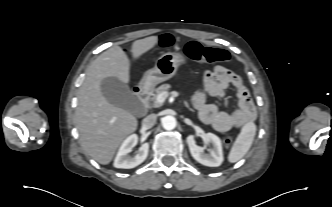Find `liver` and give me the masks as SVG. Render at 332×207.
Instances as JSON below:
<instances>
[{
	"instance_id": "6515ba94",
	"label": "liver",
	"mask_w": 332,
	"mask_h": 207,
	"mask_svg": "<svg viewBox=\"0 0 332 207\" xmlns=\"http://www.w3.org/2000/svg\"><path fill=\"white\" fill-rule=\"evenodd\" d=\"M157 36L136 40L132 44L133 59L140 58L158 43ZM115 77L130 81V60L119 46L100 54L86 69L79 90L75 122L84 151L102 165L109 164L122 141L138 126L136 117L109 103L101 92V81Z\"/></svg>"
}]
</instances>
